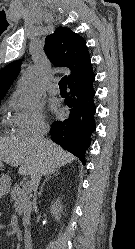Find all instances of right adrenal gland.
<instances>
[{
	"label": "right adrenal gland",
	"mask_w": 135,
	"mask_h": 249,
	"mask_svg": "<svg viewBox=\"0 0 135 249\" xmlns=\"http://www.w3.org/2000/svg\"><path fill=\"white\" fill-rule=\"evenodd\" d=\"M58 174H59L58 170H54V171H52L51 173H49V174L46 175V178H45L44 182L42 183V186H41L40 191H39V193H38V196H39V197H40L41 194H42L43 187H44L45 183H46L52 176H57Z\"/></svg>",
	"instance_id": "1"
}]
</instances>
